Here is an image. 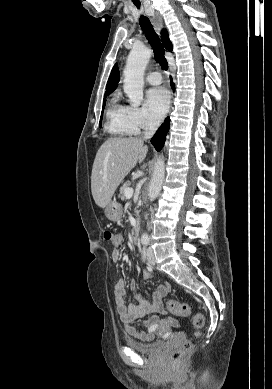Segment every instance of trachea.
I'll list each match as a JSON object with an SVG mask.
<instances>
[{
    "label": "trachea",
    "instance_id": "obj_1",
    "mask_svg": "<svg viewBox=\"0 0 272 389\" xmlns=\"http://www.w3.org/2000/svg\"><path fill=\"white\" fill-rule=\"evenodd\" d=\"M135 5L138 9L140 8V4H135ZM139 23H140L141 29L143 30L148 42L151 44L152 48L154 49V57H155L156 62L159 63V65L161 66V68L163 70H167L168 63H167L166 58L164 56V54H165L164 47L161 44L158 35L154 31V29L150 23V20L146 16L141 15L140 19H139Z\"/></svg>",
    "mask_w": 272,
    "mask_h": 389
}]
</instances>
